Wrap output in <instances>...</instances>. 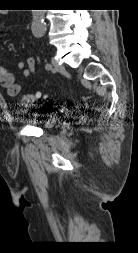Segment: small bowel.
Masks as SVG:
<instances>
[{"label":"small bowel","instance_id":"c3829d8e","mask_svg":"<svg viewBox=\"0 0 138 253\" xmlns=\"http://www.w3.org/2000/svg\"><path fill=\"white\" fill-rule=\"evenodd\" d=\"M15 70L22 71L24 77H29L35 71L34 57H28L25 61H19L15 64ZM0 84L6 89V93L10 97L17 96L21 90L22 85L16 79L14 72L0 64Z\"/></svg>","mask_w":138,"mask_h":253}]
</instances>
